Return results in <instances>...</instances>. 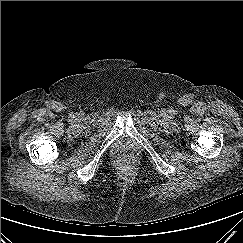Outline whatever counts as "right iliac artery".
Segmentation results:
<instances>
[{
  "instance_id": "82829eb1",
  "label": "right iliac artery",
  "mask_w": 243,
  "mask_h": 243,
  "mask_svg": "<svg viewBox=\"0 0 243 243\" xmlns=\"http://www.w3.org/2000/svg\"><path fill=\"white\" fill-rule=\"evenodd\" d=\"M70 116L73 117L74 115L71 113Z\"/></svg>"
}]
</instances>
